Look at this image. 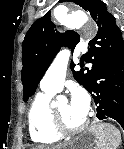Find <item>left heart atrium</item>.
Masks as SVG:
<instances>
[{
	"label": "left heart atrium",
	"mask_w": 124,
	"mask_h": 149,
	"mask_svg": "<svg viewBox=\"0 0 124 149\" xmlns=\"http://www.w3.org/2000/svg\"><path fill=\"white\" fill-rule=\"evenodd\" d=\"M71 109L86 117L90 109L89 97L82 88H77L72 91L70 100Z\"/></svg>",
	"instance_id": "39dd6f15"
}]
</instances>
